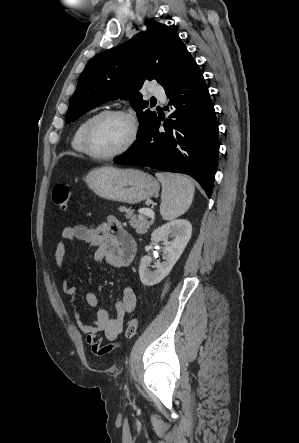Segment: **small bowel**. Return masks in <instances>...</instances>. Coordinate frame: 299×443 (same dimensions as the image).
Instances as JSON below:
<instances>
[{
    "label": "small bowel",
    "mask_w": 299,
    "mask_h": 443,
    "mask_svg": "<svg viewBox=\"0 0 299 443\" xmlns=\"http://www.w3.org/2000/svg\"><path fill=\"white\" fill-rule=\"evenodd\" d=\"M62 241L56 246L54 252L55 263L58 268L62 267L66 252V241H84L93 248V257L96 261L106 262L114 268H125L133 261L137 246L133 237L125 230L122 224L113 216L106 223L98 227L76 225L65 227L61 232ZM62 291L70 297L73 316L79 329L86 334V342L94 354L103 356L114 350L118 345L116 340L123 329L127 314L134 311L137 303L135 292L127 287L123 290L120 300L115 304L114 316L108 310L99 309L96 321L86 323L76 304V289L67 280L61 281ZM86 303L96 307L99 303L98 296L94 292L85 295ZM102 334V336L100 335ZM104 340L108 344H104Z\"/></svg>",
    "instance_id": "1"
}]
</instances>
